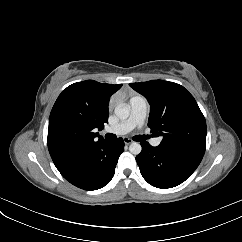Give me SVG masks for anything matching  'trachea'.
<instances>
[{"label":"trachea","mask_w":242,"mask_h":242,"mask_svg":"<svg viewBox=\"0 0 242 242\" xmlns=\"http://www.w3.org/2000/svg\"><path fill=\"white\" fill-rule=\"evenodd\" d=\"M105 138L107 139V140H114L115 138H116V136L115 135H112V134H106L105 135ZM148 138V136H146V135H139V136H137L136 138H135V140L136 141H144V140H146Z\"/></svg>","instance_id":"obj_1"}]
</instances>
